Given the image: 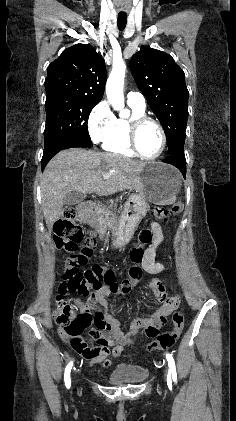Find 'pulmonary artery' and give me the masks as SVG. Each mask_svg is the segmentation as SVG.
<instances>
[{
    "mask_svg": "<svg viewBox=\"0 0 236 421\" xmlns=\"http://www.w3.org/2000/svg\"><path fill=\"white\" fill-rule=\"evenodd\" d=\"M127 102L129 104L138 106L140 108L146 107V102H145L144 97L140 94H136V93H133V92L128 93Z\"/></svg>",
    "mask_w": 236,
    "mask_h": 421,
    "instance_id": "pulmonary-artery-1",
    "label": "pulmonary artery"
}]
</instances>
